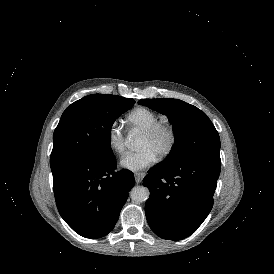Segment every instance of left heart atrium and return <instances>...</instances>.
<instances>
[{
	"mask_svg": "<svg viewBox=\"0 0 274 274\" xmlns=\"http://www.w3.org/2000/svg\"><path fill=\"white\" fill-rule=\"evenodd\" d=\"M157 156L148 148H139L121 156L119 166L129 171H141L151 166Z\"/></svg>",
	"mask_w": 274,
	"mask_h": 274,
	"instance_id": "39dd6f15",
	"label": "left heart atrium"
}]
</instances>
